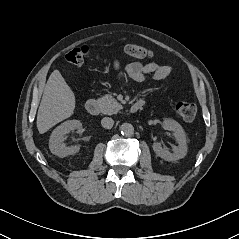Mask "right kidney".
I'll return each mask as SVG.
<instances>
[{
    "label": "right kidney",
    "instance_id": "right-kidney-1",
    "mask_svg": "<svg viewBox=\"0 0 239 239\" xmlns=\"http://www.w3.org/2000/svg\"><path fill=\"white\" fill-rule=\"evenodd\" d=\"M82 129V124L78 120H68L57 126L49 139V149L51 153L58 157H66L79 151V147H68L64 143V135L70 131Z\"/></svg>",
    "mask_w": 239,
    "mask_h": 239
}]
</instances>
